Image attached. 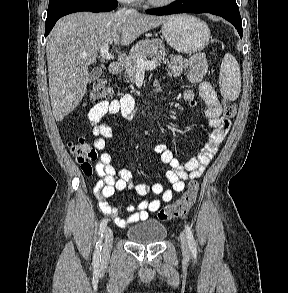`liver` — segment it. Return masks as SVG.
<instances>
[{"mask_svg": "<svg viewBox=\"0 0 288 293\" xmlns=\"http://www.w3.org/2000/svg\"><path fill=\"white\" fill-rule=\"evenodd\" d=\"M168 19L132 10L79 12L61 18L46 43L49 95L55 120L62 121L84 97L89 66L96 62L103 45H130Z\"/></svg>", "mask_w": 288, "mask_h": 293, "instance_id": "1", "label": "liver"}]
</instances>
